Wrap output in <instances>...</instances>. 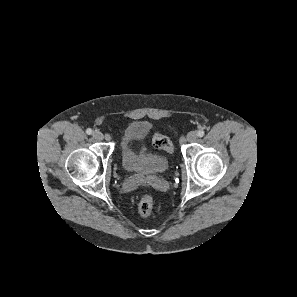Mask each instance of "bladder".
<instances>
[{
  "label": "bladder",
  "mask_w": 297,
  "mask_h": 297,
  "mask_svg": "<svg viewBox=\"0 0 297 297\" xmlns=\"http://www.w3.org/2000/svg\"><path fill=\"white\" fill-rule=\"evenodd\" d=\"M151 130L146 121H133L125 126L120 139L122 165L131 173L157 174L169 167L166 157L149 152L143 145Z\"/></svg>",
  "instance_id": "bladder-1"
}]
</instances>
